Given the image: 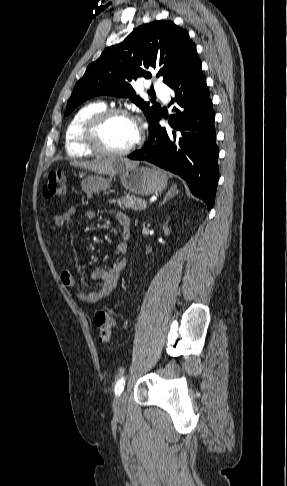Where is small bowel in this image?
<instances>
[{
  "mask_svg": "<svg viewBox=\"0 0 287 486\" xmlns=\"http://www.w3.org/2000/svg\"><path fill=\"white\" fill-rule=\"evenodd\" d=\"M78 212V208L72 206L61 214L53 215L52 222L58 228H63L66 225H73L74 219L78 215ZM115 215L121 225V237L116 244V250L120 254H125L128 251V243L131 235L130 218L122 211H116ZM96 216L97 214L93 210H87L84 212V217L87 219H94ZM61 261L64 264L60 273L62 285L67 288H79L81 283L74 278L70 268L66 265V257L63 256ZM125 266L126 259L120 258L116 260L109 268L102 266L95 268L89 276L88 281H100V289L92 292L78 290L76 292V298L85 303H96L99 300L107 297L116 287Z\"/></svg>",
  "mask_w": 287,
  "mask_h": 486,
  "instance_id": "c3829d8e",
  "label": "small bowel"
}]
</instances>
